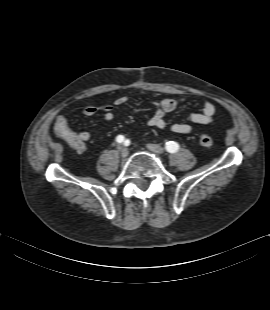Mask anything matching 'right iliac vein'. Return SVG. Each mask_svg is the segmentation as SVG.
I'll return each instance as SVG.
<instances>
[{
    "label": "right iliac vein",
    "instance_id": "right-iliac-vein-1",
    "mask_svg": "<svg viewBox=\"0 0 270 310\" xmlns=\"http://www.w3.org/2000/svg\"><path fill=\"white\" fill-rule=\"evenodd\" d=\"M119 151H120V154H121L122 157H127L128 156L129 151H128V149L126 147H124V146L120 147Z\"/></svg>",
    "mask_w": 270,
    "mask_h": 310
}]
</instances>
